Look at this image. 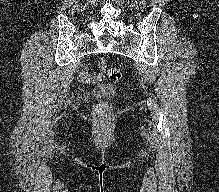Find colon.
Here are the masks:
<instances>
[{
  "instance_id": "obj_1",
  "label": "colon",
  "mask_w": 219,
  "mask_h": 192,
  "mask_svg": "<svg viewBox=\"0 0 219 192\" xmlns=\"http://www.w3.org/2000/svg\"><path fill=\"white\" fill-rule=\"evenodd\" d=\"M107 78L111 81H119L122 78V72L116 67L108 68L106 72ZM111 105L108 101L102 100L96 103L93 107V118L94 120L103 125L109 119Z\"/></svg>"
}]
</instances>
